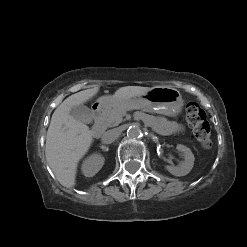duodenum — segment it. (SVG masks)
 <instances>
[{"mask_svg":"<svg viewBox=\"0 0 247 247\" xmlns=\"http://www.w3.org/2000/svg\"><path fill=\"white\" fill-rule=\"evenodd\" d=\"M108 109V104H99L94 109V125L92 127V134L96 138L100 137L105 130V115Z\"/></svg>","mask_w":247,"mask_h":247,"instance_id":"obj_1","label":"duodenum"}]
</instances>
